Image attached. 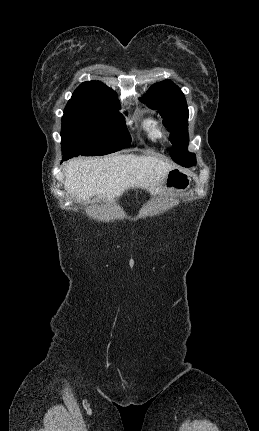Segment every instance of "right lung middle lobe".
<instances>
[{"label": "right lung middle lobe", "instance_id": "1", "mask_svg": "<svg viewBox=\"0 0 259 431\" xmlns=\"http://www.w3.org/2000/svg\"><path fill=\"white\" fill-rule=\"evenodd\" d=\"M116 95L102 100H72L62 117V153L68 157L98 156L130 145Z\"/></svg>", "mask_w": 259, "mask_h": 431}]
</instances>
